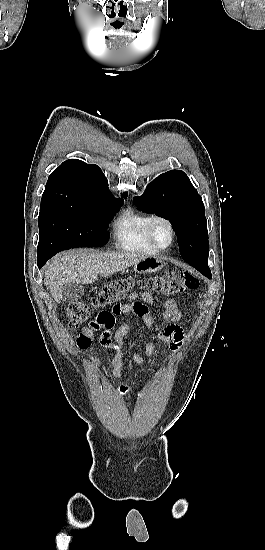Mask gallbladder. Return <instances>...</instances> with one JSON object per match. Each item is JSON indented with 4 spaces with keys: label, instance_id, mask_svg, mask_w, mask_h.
Returning <instances> with one entry per match:
<instances>
[{
    "label": "gallbladder",
    "instance_id": "1",
    "mask_svg": "<svg viewBox=\"0 0 265 550\" xmlns=\"http://www.w3.org/2000/svg\"><path fill=\"white\" fill-rule=\"evenodd\" d=\"M84 295V288L78 283H67L62 287L63 300L68 303L77 302Z\"/></svg>",
    "mask_w": 265,
    "mask_h": 550
}]
</instances>
